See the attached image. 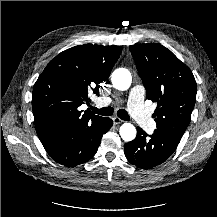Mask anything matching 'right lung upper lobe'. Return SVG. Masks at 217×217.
Wrapping results in <instances>:
<instances>
[{
  "mask_svg": "<svg viewBox=\"0 0 217 217\" xmlns=\"http://www.w3.org/2000/svg\"><path fill=\"white\" fill-rule=\"evenodd\" d=\"M122 51L121 46L84 44L58 54L37 79L32 94L36 132L48 144L78 134L102 117L79 106L89 103L88 93H99L100 83Z\"/></svg>",
  "mask_w": 217,
  "mask_h": 217,
  "instance_id": "right-lung-upper-lobe-1",
  "label": "right lung upper lobe"
}]
</instances>
